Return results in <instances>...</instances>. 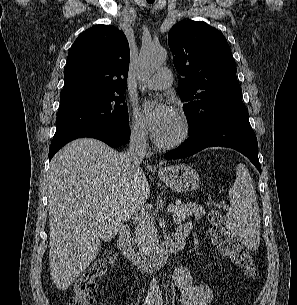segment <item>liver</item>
<instances>
[{
    "label": "liver",
    "instance_id": "6515ba94",
    "mask_svg": "<svg viewBox=\"0 0 297 305\" xmlns=\"http://www.w3.org/2000/svg\"><path fill=\"white\" fill-rule=\"evenodd\" d=\"M124 153L92 139H76L55 154L48 171L50 275L65 291L149 198L142 169Z\"/></svg>",
    "mask_w": 297,
    "mask_h": 305
}]
</instances>
